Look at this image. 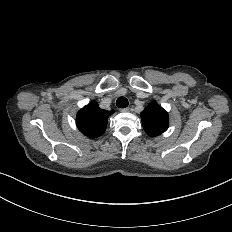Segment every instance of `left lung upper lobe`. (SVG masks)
Returning a JSON list of instances; mask_svg holds the SVG:
<instances>
[{
    "label": "left lung upper lobe",
    "mask_w": 232,
    "mask_h": 232,
    "mask_svg": "<svg viewBox=\"0 0 232 232\" xmlns=\"http://www.w3.org/2000/svg\"><path fill=\"white\" fill-rule=\"evenodd\" d=\"M141 119L145 132L152 137L166 131L169 125L168 113L156 102L150 103L141 112Z\"/></svg>",
    "instance_id": "left-lung-upper-lobe-1"
}]
</instances>
